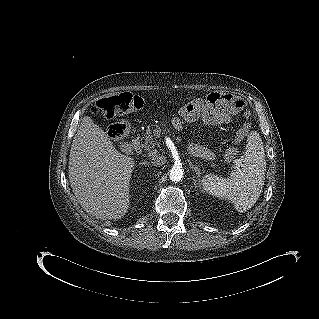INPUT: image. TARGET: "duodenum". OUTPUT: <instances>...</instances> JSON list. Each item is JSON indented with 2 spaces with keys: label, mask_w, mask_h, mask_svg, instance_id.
<instances>
[{
  "label": "duodenum",
  "mask_w": 319,
  "mask_h": 319,
  "mask_svg": "<svg viewBox=\"0 0 319 319\" xmlns=\"http://www.w3.org/2000/svg\"><path fill=\"white\" fill-rule=\"evenodd\" d=\"M130 146H131L132 152H138L141 146L139 138L135 137Z\"/></svg>",
  "instance_id": "duodenum-1"
}]
</instances>
